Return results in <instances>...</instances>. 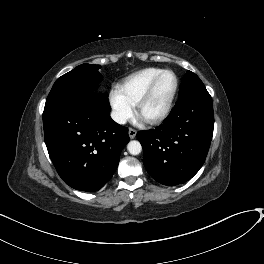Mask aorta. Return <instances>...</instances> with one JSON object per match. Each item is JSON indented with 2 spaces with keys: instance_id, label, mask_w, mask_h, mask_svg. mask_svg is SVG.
<instances>
[{
  "instance_id": "aorta-1",
  "label": "aorta",
  "mask_w": 264,
  "mask_h": 264,
  "mask_svg": "<svg viewBox=\"0 0 264 264\" xmlns=\"http://www.w3.org/2000/svg\"><path fill=\"white\" fill-rule=\"evenodd\" d=\"M127 150L132 155H138L142 151V146L139 141H130L127 145Z\"/></svg>"
}]
</instances>
